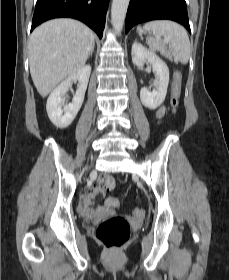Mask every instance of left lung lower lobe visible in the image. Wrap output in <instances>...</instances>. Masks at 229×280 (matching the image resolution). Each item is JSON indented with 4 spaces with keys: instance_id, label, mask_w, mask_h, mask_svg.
Here are the masks:
<instances>
[{
    "instance_id": "obj_1",
    "label": "left lung lower lobe",
    "mask_w": 229,
    "mask_h": 280,
    "mask_svg": "<svg viewBox=\"0 0 229 280\" xmlns=\"http://www.w3.org/2000/svg\"><path fill=\"white\" fill-rule=\"evenodd\" d=\"M158 19L176 21L191 32L185 0H130L126 33L139 23Z\"/></svg>"
}]
</instances>
